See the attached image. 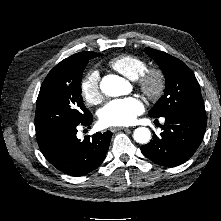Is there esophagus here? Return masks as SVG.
I'll list each match as a JSON object with an SVG mask.
<instances>
[{
    "label": "esophagus",
    "mask_w": 221,
    "mask_h": 221,
    "mask_svg": "<svg viewBox=\"0 0 221 221\" xmlns=\"http://www.w3.org/2000/svg\"><path fill=\"white\" fill-rule=\"evenodd\" d=\"M129 128H127V127H112V128H110V131H112V132H116V131H119V130H128Z\"/></svg>",
    "instance_id": "34e87169"
}]
</instances>
